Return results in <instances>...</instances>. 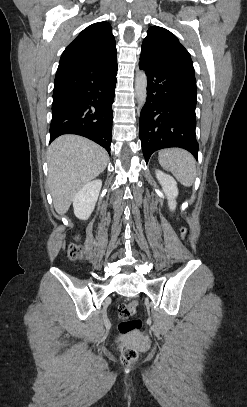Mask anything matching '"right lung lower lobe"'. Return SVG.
Instances as JSON below:
<instances>
[{"label": "right lung lower lobe", "mask_w": 247, "mask_h": 407, "mask_svg": "<svg viewBox=\"0 0 247 407\" xmlns=\"http://www.w3.org/2000/svg\"><path fill=\"white\" fill-rule=\"evenodd\" d=\"M117 61L94 69L80 82L53 92L50 142L62 134L91 139L110 153Z\"/></svg>", "instance_id": "98d812e1"}]
</instances>
